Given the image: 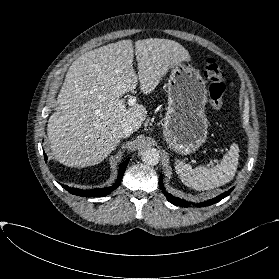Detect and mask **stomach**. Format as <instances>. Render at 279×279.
<instances>
[{
	"label": "stomach",
	"mask_w": 279,
	"mask_h": 279,
	"mask_svg": "<svg viewBox=\"0 0 279 279\" xmlns=\"http://www.w3.org/2000/svg\"><path fill=\"white\" fill-rule=\"evenodd\" d=\"M167 87L168 107L163 124L164 139L176 153H193L207 137L206 82L193 67L176 63L171 67Z\"/></svg>",
	"instance_id": "0dacf381"
}]
</instances>
